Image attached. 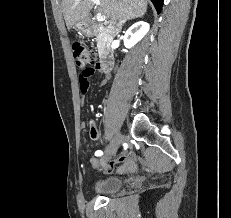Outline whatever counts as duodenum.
I'll return each instance as SVG.
<instances>
[{
	"label": "duodenum",
	"mask_w": 231,
	"mask_h": 218,
	"mask_svg": "<svg viewBox=\"0 0 231 218\" xmlns=\"http://www.w3.org/2000/svg\"><path fill=\"white\" fill-rule=\"evenodd\" d=\"M83 26L86 30L92 31L95 34L109 35L110 30L108 27L101 24H92L90 22H84ZM99 69L103 73H109L114 66V58L110 53H104L99 63Z\"/></svg>",
	"instance_id": "obj_1"
}]
</instances>
